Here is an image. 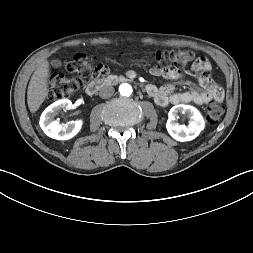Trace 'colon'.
<instances>
[{"mask_svg": "<svg viewBox=\"0 0 253 253\" xmlns=\"http://www.w3.org/2000/svg\"><path fill=\"white\" fill-rule=\"evenodd\" d=\"M150 57L159 65L173 63L178 66H186L194 59V53L189 50H157L150 53ZM66 70L69 73L76 74L75 78H68L65 75H55L49 81L48 98L50 100H60L70 96L78 91L83 80L88 78L95 81L98 77L105 78L109 76L111 67L105 61H99L94 64L93 59L83 53L75 54L67 63ZM224 113L223 107L218 103H209L206 108V119L210 124L217 123Z\"/></svg>", "mask_w": 253, "mask_h": 253, "instance_id": "5ec220e1", "label": "colon"}]
</instances>
